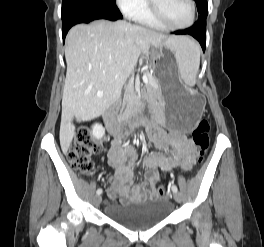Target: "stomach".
<instances>
[{
    "label": "stomach",
    "instance_id": "obj_1",
    "mask_svg": "<svg viewBox=\"0 0 264 247\" xmlns=\"http://www.w3.org/2000/svg\"><path fill=\"white\" fill-rule=\"evenodd\" d=\"M164 46L172 48L168 42H165ZM159 53L153 51L154 69L166 100L167 123L169 128L181 131V136H186V131H193V128H196L198 118H203L205 94H189L182 86L180 76H177L179 74L177 63H168L177 62L175 53H166V48H159Z\"/></svg>",
    "mask_w": 264,
    "mask_h": 247
}]
</instances>
